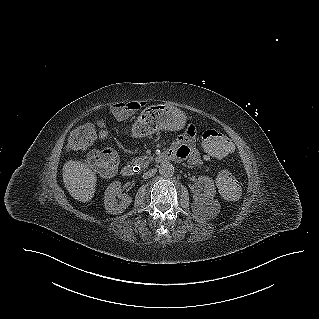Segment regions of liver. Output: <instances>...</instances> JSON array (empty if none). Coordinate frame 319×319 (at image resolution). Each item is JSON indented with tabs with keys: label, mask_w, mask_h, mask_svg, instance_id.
<instances>
[{
	"label": "liver",
	"mask_w": 319,
	"mask_h": 319,
	"mask_svg": "<svg viewBox=\"0 0 319 319\" xmlns=\"http://www.w3.org/2000/svg\"><path fill=\"white\" fill-rule=\"evenodd\" d=\"M62 177L69 194L76 200L88 202L94 197L97 177L86 163L67 161L63 166Z\"/></svg>",
	"instance_id": "obj_1"
}]
</instances>
